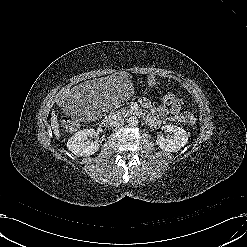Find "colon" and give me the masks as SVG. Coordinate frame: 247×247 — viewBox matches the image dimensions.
I'll list each match as a JSON object with an SVG mask.
<instances>
[{"label": "colon", "instance_id": "colon-1", "mask_svg": "<svg viewBox=\"0 0 247 247\" xmlns=\"http://www.w3.org/2000/svg\"><path fill=\"white\" fill-rule=\"evenodd\" d=\"M175 97V95L171 92H166L164 96L159 98V103L163 106H169L171 104V100ZM186 122L190 126H194L196 124V118L194 115L189 114L186 118ZM62 127L67 131H75L80 127V123L77 119L63 117L62 118Z\"/></svg>", "mask_w": 247, "mask_h": 247}]
</instances>
